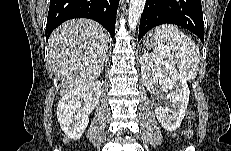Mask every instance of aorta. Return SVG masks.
I'll return each instance as SVG.
<instances>
[{
    "label": "aorta",
    "instance_id": "762f6f07",
    "mask_svg": "<svg viewBox=\"0 0 231 151\" xmlns=\"http://www.w3.org/2000/svg\"><path fill=\"white\" fill-rule=\"evenodd\" d=\"M145 3L146 0H130L128 11V26L130 30H136V27L144 10Z\"/></svg>",
    "mask_w": 231,
    "mask_h": 151
}]
</instances>
